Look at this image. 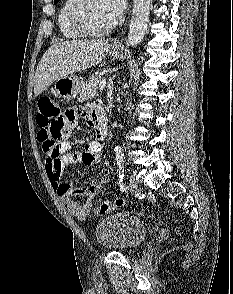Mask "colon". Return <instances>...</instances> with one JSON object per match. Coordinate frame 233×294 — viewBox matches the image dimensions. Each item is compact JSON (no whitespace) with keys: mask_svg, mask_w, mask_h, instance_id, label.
Wrapping results in <instances>:
<instances>
[{"mask_svg":"<svg viewBox=\"0 0 233 294\" xmlns=\"http://www.w3.org/2000/svg\"><path fill=\"white\" fill-rule=\"evenodd\" d=\"M59 108L61 107L51 96L40 98L36 115V122L41 127L40 132H47L44 131V126H49L50 120H55L57 115H54V110H59ZM45 145H47V142ZM122 204L123 201L121 199H117L114 202H103L97 206L96 213L100 215L110 213Z\"/></svg>","mask_w":233,"mask_h":294,"instance_id":"5ec220e1","label":"colon"}]
</instances>
